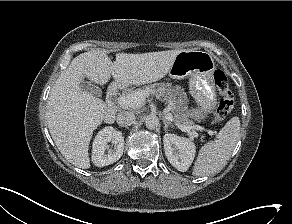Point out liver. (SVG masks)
I'll return each mask as SVG.
<instances>
[{"label":"liver","instance_id":"liver-1","mask_svg":"<svg viewBox=\"0 0 292 224\" xmlns=\"http://www.w3.org/2000/svg\"><path fill=\"white\" fill-rule=\"evenodd\" d=\"M180 52L117 53L115 62L105 50H92L75 57L59 75L47 101L48 128L62 155L76 167L89 168L93 131L113 111L103 100L80 88L84 77L104 85L112 76L116 85L126 87L155 82L168 73Z\"/></svg>","mask_w":292,"mask_h":224}]
</instances>
